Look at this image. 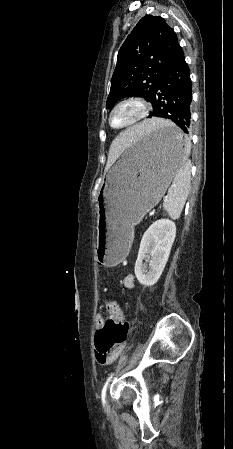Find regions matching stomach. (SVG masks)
Masks as SVG:
<instances>
[{
    "instance_id": "0dacf381",
    "label": "stomach",
    "mask_w": 233,
    "mask_h": 449,
    "mask_svg": "<svg viewBox=\"0 0 233 449\" xmlns=\"http://www.w3.org/2000/svg\"><path fill=\"white\" fill-rule=\"evenodd\" d=\"M187 137L172 123L135 142L106 175L98 199L97 261L116 266L134 238V227L156 206L186 159Z\"/></svg>"
}]
</instances>
